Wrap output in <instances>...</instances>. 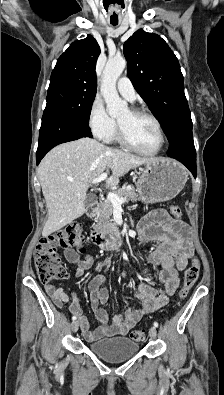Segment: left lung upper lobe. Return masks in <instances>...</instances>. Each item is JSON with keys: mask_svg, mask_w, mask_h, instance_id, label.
<instances>
[{"mask_svg": "<svg viewBox=\"0 0 224 395\" xmlns=\"http://www.w3.org/2000/svg\"><path fill=\"white\" fill-rule=\"evenodd\" d=\"M123 52L133 86L169 140L181 122L191 119L178 59L159 35L144 30L124 43Z\"/></svg>", "mask_w": 224, "mask_h": 395, "instance_id": "5c2ea615", "label": "left lung upper lobe"}]
</instances>
